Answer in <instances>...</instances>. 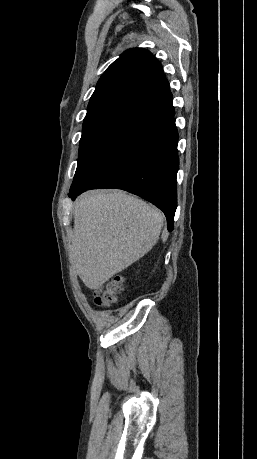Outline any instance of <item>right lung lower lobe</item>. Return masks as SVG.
<instances>
[{"mask_svg": "<svg viewBox=\"0 0 257 459\" xmlns=\"http://www.w3.org/2000/svg\"><path fill=\"white\" fill-rule=\"evenodd\" d=\"M172 94L127 119L107 146L74 176L69 197L94 188H118L161 209L173 229L179 159Z\"/></svg>", "mask_w": 257, "mask_h": 459, "instance_id": "obj_1", "label": "right lung lower lobe"}]
</instances>
